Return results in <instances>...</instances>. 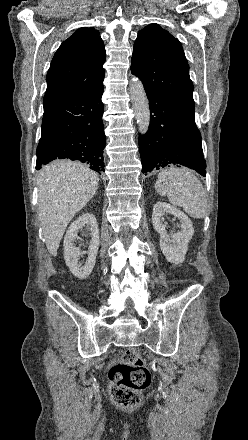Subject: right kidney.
I'll return each mask as SVG.
<instances>
[{"label": "right kidney", "instance_id": "ca27d5eb", "mask_svg": "<svg viewBox=\"0 0 248 440\" xmlns=\"http://www.w3.org/2000/svg\"><path fill=\"white\" fill-rule=\"evenodd\" d=\"M85 228L90 231V245L88 249V258L86 263L82 265L78 260L80 257V250L75 247V240L79 230ZM99 229L96 218L91 213L81 215L76 221L71 223L64 237V259L66 265L69 267L71 273L79 278H87L95 265L96 255L99 249Z\"/></svg>", "mask_w": 248, "mask_h": 440}]
</instances>
